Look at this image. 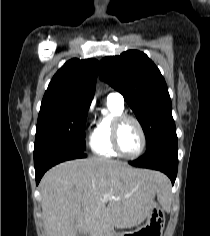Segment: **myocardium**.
<instances>
[{
  "label": "myocardium",
  "mask_w": 210,
  "mask_h": 236,
  "mask_svg": "<svg viewBox=\"0 0 210 236\" xmlns=\"http://www.w3.org/2000/svg\"><path fill=\"white\" fill-rule=\"evenodd\" d=\"M127 120H131L137 125L140 135H141V146L138 152L133 155H126L125 153H123L120 147V140H119L120 129H121L122 124ZM146 143H147L146 133H145L142 123L140 122L138 118L129 114H125V113H122L115 117L113 121V125H112V146L118 156L124 159L134 160L138 158L144 152L146 148Z\"/></svg>",
  "instance_id": "1"
}]
</instances>
